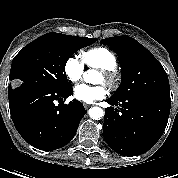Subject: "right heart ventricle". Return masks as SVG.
Listing matches in <instances>:
<instances>
[{
    "mask_svg": "<svg viewBox=\"0 0 178 178\" xmlns=\"http://www.w3.org/2000/svg\"><path fill=\"white\" fill-rule=\"evenodd\" d=\"M85 63L94 68L113 70L117 65L115 54L105 47H94L83 53Z\"/></svg>",
    "mask_w": 178,
    "mask_h": 178,
    "instance_id": "1",
    "label": "right heart ventricle"
}]
</instances>
